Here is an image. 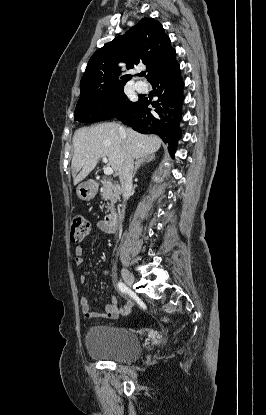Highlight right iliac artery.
Listing matches in <instances>:
<instances>
[{
  "label": "right iliac artery",
  "instance_id": "1",
  "mask_svg": "<svg viewBox=\"0 0 266 415\" xmlns=\"http://www.w3.org/2000/svg\"><path fill=\"white\" fill-rule=\"evenodd\" d=\"M118 288L123 293H126L128 291V287L123 282L118 283Z\"/></svg>",
  "mask_w": 266,
  "mask_h": 415
}]
</instances>
